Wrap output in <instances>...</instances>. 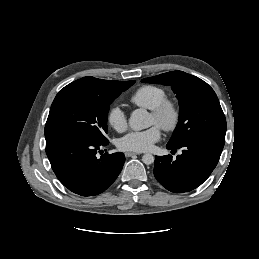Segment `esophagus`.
I'll return each instance as SVG.
<instances>
[{
  "label": "esophagus",
  "instance_id": "1",
  "mask_svg": "<svg viewBox=\"0 0 259 259\" xmlns=\"http://www.w3.org/2000/svg\"><path fill=\"white\" fill-rule=\"evenodd\" d=\"M139 154H141V153H139V152H125L126 157H131V156L139 155Z\"/></svg>",
  "mask_w": 259,
  "mask_h": 259
}]
</instances>
